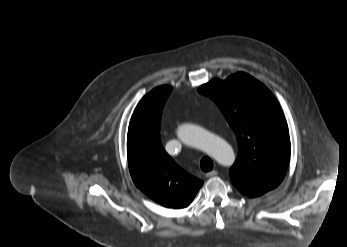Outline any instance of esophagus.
<instances>
[{"label": "esophagus", "instance_id": "34e87169", "mask_svg": "<svg viewBox=\"0 0 347 247\" xmlns=\"http://www.w3.org/2000/svg\"><path fill=\"white\" fill-rule=\"evenodd\" d=\"M217 174H218V172L216 170H212V171L206 173V177L210 178V177L216 176Z\"/></svg>", "mask_w": 347, "mask_h": 247}]
</instances>
